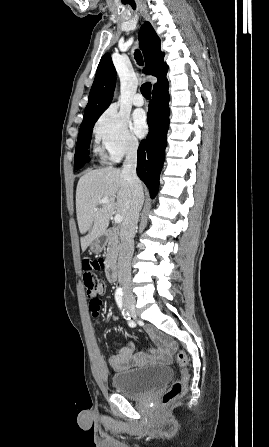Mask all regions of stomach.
Wrapping results in <instances>:
<instances>
[{
  "label": "stomach",
  "mask_w": 269,
  "mask_h": 447,
  "mask_svg": "<svg viewBox=\"0 0 269 447\" xmlns=\"http://www.w3.org/2000/svg\"><path fill=\"white\" fill-rule=\"evenodd\" d=\"M106 243H107L106 237H104V239L98 237V239H94V241L90 243V249L91 251H94V253H100V251H103V249H105Z\"/></svg>",
  "instance_id": "obj_1"
}]
</instances>
